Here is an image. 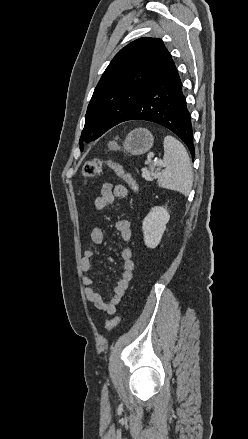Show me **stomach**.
I'll use <instances>...</instances> for the list:
<instances>
[{"mask_svg":"<svg viewBox=\"0 0 248 439\" xmlns=\"http://www.w3.org/2000/svg\"><path fill=\"white\" fill-rule=\"evenodd\" d=\"M154 143L151 132L145 128H138L131 131L123 143L125 152L131 155H141L148 152Z\"/></svg>","mask_w":248,"mask_h":439,"instance_id":"0dacf381","label":"stomach"}]
</instances>
